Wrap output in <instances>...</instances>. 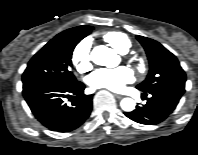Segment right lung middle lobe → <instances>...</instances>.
<instances>
[{
  "label": "right lung middle lobe",
  "instance_id": "right-lung-middle-lobe-1",
  "mask_svg": "<svg viewBox=\"0 0 198 155\" xmlns=\"http://www.w3.org/2000/svg\"><path fill=\"white\" fill-rule=\"evenodd\" d=\"M93 28L84 29L55 36L28 63L23 73V83L30 81H49L61 85L77 82L70 70L71 57L78 42L86 37Z\"/></svg>",
  "mask_w": 198,
  "mask_h": 155
}]
</instances>
